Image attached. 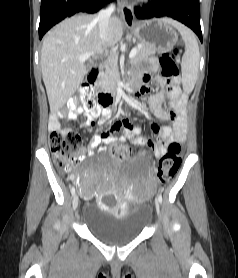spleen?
Wrapping results in <instances>:
<instances>
[{"instance_id":"obj_1","label":"spleen","mask_w":238,"mask_h":278,"mask_svg":"<svg viewBox=\"0 0 238 278\" xmlns=\"http://www.w3.org/2000/svg\"><path fill=\"white\" fill-rule=\"evenodd\" d=\"M163 20L175 27L185 42V52L181 63L182 85L186 93H191L196 83L200 59L196 36L189 28L175 20L168 18Z\"/></svg>"}]
</instances>
